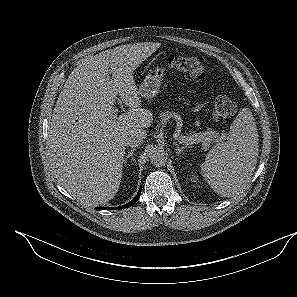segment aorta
<instances>
[{"mask_svg":"<svg viewBox=\"0 0 297 297\" xmlns=\"http://www.w3.org/2000/svg\"><path fill=\"white\" fill-rule=\"evenodd\" d=\"M150 161L153 166L161 167L167 162V154L163 150H154L150 153Z\"/></svg>","mask_w":297,"mask_h":297,"instance_id":"1","label":"aorta"}]
</instances>
